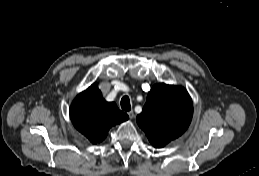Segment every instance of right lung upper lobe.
Segmentation results:
<instances>
[{"mask_svg": "<svg viewBox=\"0 0 259 176\" xmlns=\"http://www.w3.org/2000/svg\"><path fill=\"white\" fill-rule=\"evenodd\" d=\"M70 118L75 128L96 144L105 139L112 126L129 117L114 102L105 101L94 83L74 99Z\"/></svg>", "mask_w": 259, "mask_h": 176, "instance_id": "cb5924a9", "label": "right lung upper lobe"}]
</instances>
